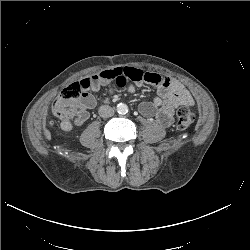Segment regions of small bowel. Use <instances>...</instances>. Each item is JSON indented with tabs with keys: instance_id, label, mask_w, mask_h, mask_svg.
I'll return each instance as SVG.
<instances>
[{
	"instance_id": "1",
	"label": "small bowel",
	"mask_w": 250,
	"mask_h": 250,
	"mask_svg": "<svg viewBox=\"0 0 250 250\" xmlns=\"http://www.w3.org/2000/svg\"><path fill=\"white\" fill-rule=\"evenodd\" d=\"M77 83L81 87L82 94L78 99L77 112L73 121L63 120L60 124L65 132H70L73 126H80L88 120L89 111L96 105V98L90 91H99L107 85H110L111 93L117 89L134 92L143 83L157 87V95L151 102L141 103L139 110L144 116L154 118L164 127L172 124L175 110L179 106L191 107L194 104L189 91L175 79L135 67L105 70Z\"/></svg>"
}]
</instances>
